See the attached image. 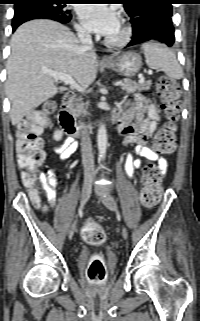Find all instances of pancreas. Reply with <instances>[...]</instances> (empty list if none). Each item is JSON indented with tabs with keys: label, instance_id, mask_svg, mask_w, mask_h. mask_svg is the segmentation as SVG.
<instances>
[{
	"label": "pancreas",
	"instance_id": "obj_1",
	"mask_svg": "<svg viewBox=\"0 0 200 321\" xmlns=\"http://www.w3.org/2000/svg\"><path fill=\"white\" fill-rule=\"evenodd\" d=\"M151 84V81H142L136 83L130 79H124L121 88L127 93H134L136 91H148ZM88 106L89 102L84 103L82 99H78V101L73 105L71 112L75 117H80L82 115L85 116L88 113Z\"/></svg>",
	"mask_w": 200,
	"mask_h": 321
}]
</instances>
